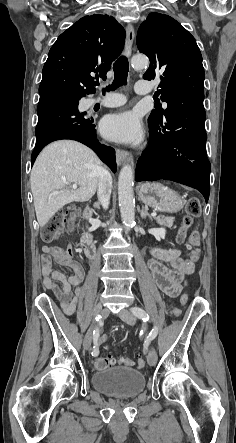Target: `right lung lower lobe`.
I'll list each match as a JSON object with an SVG mask.
<instances>
[{"label": "right lung lower lobe", "mask_w": 236, "mask_h": 443, "mask_svg": "<svg viewBox=\"0 0 236 443\" xmlns=\"http://www.w3.org/2000/svg\"><path fill=\"white\" fill-rule=\"evenodd\" d=\"M78 103V99L62 93L40 95L37 108L38 123L35 129L36 145L31 155L32 165L47 144L60 139H71L90 147L115 173L114 149L97 141L93 119L88 118L85 112H79Z\"/></svg>", "instance_id": "obj_1"}]
</instances>
